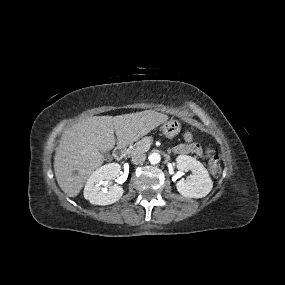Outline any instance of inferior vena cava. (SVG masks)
Returning a JSON list of instances; mask_svg holds the SVG:
<instances>
[{"instance_id": "inferior-vena-cava-1", "label": "inferior vena cava", "mask_w": 285, "mask_h": 285, "mask_svg": "<svg viewBox=\"0 0 285 285\" xmlns=\"http://www.w3.org/2000/svg\"><path fill=\"white\" fill-rule=\"evenodd\" d=\"M145 159H146L145 154H136L132 157V163L138 165L143 163Z\"/></svg>"}]
</instances>
